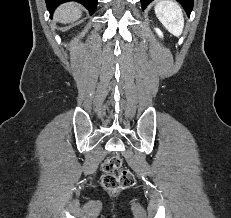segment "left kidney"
Listing matches in <instances>:
<instances>
[{
    "label": "left kidney",
    "mask_w": 231,
    "mask_h": 218,
    "mask_svg": "<svg viewBox=\"0 0 231 218\" xmlns=\"http://www.w3.org/2000/svg\"><path fill=\"white\" fill-rule=\"evenodd\" d=\"M159 36H162V32L159 29H155Z\"/></svg>",
    "instance_id": "1"
}]
</instances>
